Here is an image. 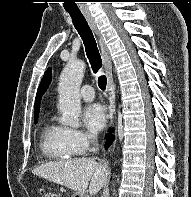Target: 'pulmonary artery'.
Returning <instances> with one entry per match:
<instances>
[{
	"instance_id": "obj_1",
	"label": "pulmonary artery",
	"mask_w": 191,
	"mask_h": 197,
	"mask_svg": "<svg viewBox=\"0 0 191 197\" xmlns=\"http://www.w3.org/2000/svg\"><path fill=\"white\" fill-rule=\"evenodd\" d=\"M80 96L85 101H92L95 97L93 88L90 85H84L80 89Z\"/></svg>"
}]
</instances>
